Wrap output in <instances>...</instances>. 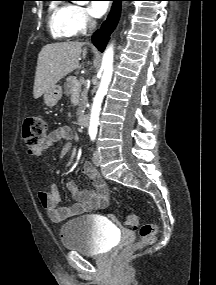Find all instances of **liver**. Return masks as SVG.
I'll use <instances>...</instances> for the list:
<instances>
[{
  "label": "liver",
  "mask_w": 216,
  "mask_h": 285,
  "mask_svg": "<svg viewBox=\"0 0 216 285\" xmlns=\"http://www.w3.org/2000/svg\"><path fill=\"white\" fill-rule=\"evenodd\" d=\"M84 43L78 41L60 42L45 45L37 60L33 96L35 99L49 91L63 77L79 66V57L87 54L82 50Z\"/></svg>",
  "instance_id": "liver-1"
}]
</instances>
